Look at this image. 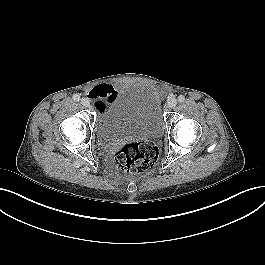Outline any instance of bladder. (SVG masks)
Here are the masks:
<instances>
[{"label":"bladder","mask_w":265,"mask_h":265,"mask_svg":"<svg viewBox=\"0 0 265 265\" xmlns=\"http://www.w3.org/2000/svg\"><path fill=\"white\" fill-rule=\"evenodd\" d=\"M164 125L156 86L133 82L123 86L100 110L96 133L105 142L127 136L155 138L162 135Z\"/></svg>","instance_id":"31cf9c89"}]
</instances>
